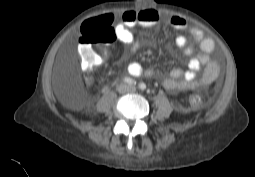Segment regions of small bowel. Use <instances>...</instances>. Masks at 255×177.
I'll list each match as a JSON object with an SVG mask.
<instances>
[{
    "instance_id": "small-bowel-1",
    "label": "small bowel",
    "mask_w": 255,
    "mask_h": 177,
    "mask_svg": "<svg viewBox=\"0 0 255 177\" xmlns=\"http://www.w3.org/2000/svg\"><path fill=\"white\" fill-rule=\"evenodd\" d=\"M162 20V15L152 8H143L138 11H125L121 16L120 22L113 27L117 39L127 46L121 58L125 60L139 49L140 43L132 32L133 27H151L159 24ZM169 23L177 31H183L188 27L187 21L179 16L171 17ZM188 31L191 37L199 43L200 52L197 56L191 57L194 49L188 44V40L184 35H178L175 38V45L182 50L185 56L191 57L187 64V70L175 68L168 73L159 70L145 71L139 63L131 62L127 67L128 73L135 77L143 74L149 77H162L163 87L171 92L193 90L201 85L212 82L219 72V64L210 59V54L215 48V43L212 38L205 36L203 31L196 26L189 27ZM102 61L103 57L96 55V65L101 64ZM202 66H206V70L204 75L199 78L197 74Z\"/></svg>"
}]
</instances>
